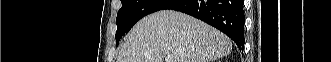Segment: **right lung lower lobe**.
<instances>
[{
	"instance_id": "right-lung-lower-lobe-1",
	"label": "right lung lower lobe",
	"mask_w": 331,
	"mask_h": 62,
	"mask_svg": "<svg viewBox=\"0 0 331 62\" xmlns=\"http://www.w3.org/2000/svg\"><path fill=\"white\" fill-rule=\"evenodd\" d=\"M244 0H174L163 9H171L200 19L228 35L244 49Z\"/></svg>"
}]
</instances>
